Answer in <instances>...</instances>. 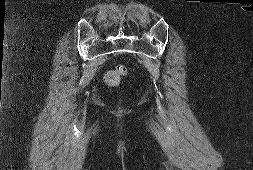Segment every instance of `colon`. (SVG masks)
Here are the masks:
<instances>
[{"mask_svg":"<svg viewBox=\"0 0 253 170\" xmlns=\"http://www.w3.org/2000/svg\"><path fill=\"white\" fill-rule=\"evenodd\" d=\"M128 70L124 65H118L115 69L106 73L104 79L108 85H117L127 75Z\"/></svg>","mask_w":253,"mask_h":170,"instance_id":"colon-1","label":"colon"}]
</instances>
